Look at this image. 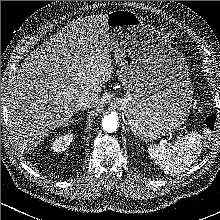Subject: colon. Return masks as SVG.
<instances>
[{"mask_svg": "<svg viewBox=\"0 0 220 220\" xmlns=\"http://www.w3.org/2000/svg\"><path fill=\"white\" fill-rule=\"evenodd\" d=\"M169 41L171 42V44L173 45H177L179 43V39L176 35H172L170 38H169Z\"/></svg>", "mask_w": 220, "mask_h": 220, "instance_id": "5ec220e1", "label": "colon"}]
</instances>
